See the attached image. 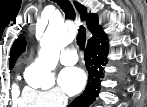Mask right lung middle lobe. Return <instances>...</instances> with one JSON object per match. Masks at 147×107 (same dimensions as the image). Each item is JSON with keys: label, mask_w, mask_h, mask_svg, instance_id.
<instances>
[{"label": "right lung middle lobe", "mask_w": 147, "mask_h": 107, "mask_svg": "<svg viewBox=\"0 0 147 107\" xmlns=\"http://www.w3.org/2000/svg\"><path fill=\"white\" fill-rule=\"evenodd\" d=\"M13 68V66H10V69H12Z\"/></svg>", "instance_id": "1"}]
</instances>
